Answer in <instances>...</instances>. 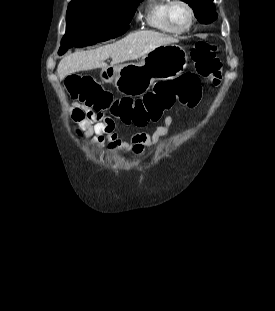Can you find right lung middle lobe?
<instances>
[{
  "label": "right lung middle lobe",
  "mask_w": 275,
  "mask_h": 311,
  "mask_svg": "<svg viewBox=\"0 0 275 311\" xmlns=\"http://www.w3.org/2000/svg\"><path fill=\"white\" fill-rule=\"evenodd\" d=\"M142 0H86L70 2L67 9L66 33L59 55L68 48L84 47L115 38L128 28Z\"/></svg>",
  "instance_id": "right-lung-middle-lobe-1"
}]
</instances>
